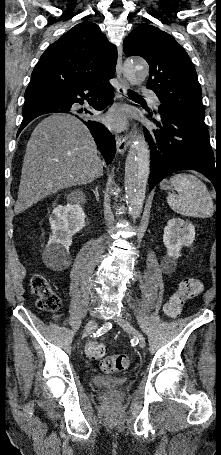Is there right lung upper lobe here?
Returning <instances> with one entry per match:
<instances>
[{"label":"right lung upper lobe","instance_id":"cb5924a9","mask_svg":"<svg viewBox=\"0 0 221 455\" xmlns=\"http://www.w3.org/2000/svg\"><path fill=\"white\" fill-rule=\"evenodd\" d=\"M117 50L99 26L82 22L51 44L35 66L25 103L53 97L76 82L115 74Z\"/></svg>","mask_w":221,"mask_h":455}]
</instances>
